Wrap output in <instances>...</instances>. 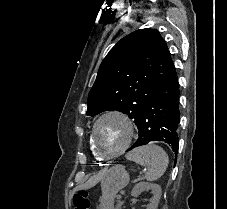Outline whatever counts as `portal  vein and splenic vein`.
<instances>
[{
  "label": "portal vein and splenic vein",
  "instance_id": "18ae733b",
  "mask_svg": "<svg viewBox=\"0 0 227 209\" xmlns=\"http://www.w3.org/2000/svg\"><path fill=\"white\" fill-rule=\"evenodd\" d=\"M125 193H126V190L125 189H122L121 190V193H119L117 197L118 198H122L123 197V194H125Z\"/></svg>",
  "mask_w": 227,
  "mask_h": 209
}]
</instances>
